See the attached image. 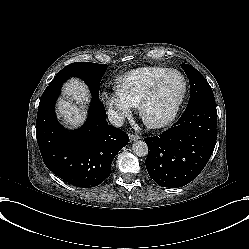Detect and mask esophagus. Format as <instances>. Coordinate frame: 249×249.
I'll use <instances>...</instances> for the list:
<instances>
[{"mask_svg":"<svg viewBox=\"0 0 249 249\" xmlns=\"http://www.w3.org/2000/svg\"><path fill=\"white\" fill-rule=\"evenodd\" d=\"M138 139H140V136L137 134H130L129 135L130 142H133V141L138 140Z\"/></svg>","mask_w":249,"mask_h":249,"instance_id":"obj_1","label":"esophagus"}]
</instances>
